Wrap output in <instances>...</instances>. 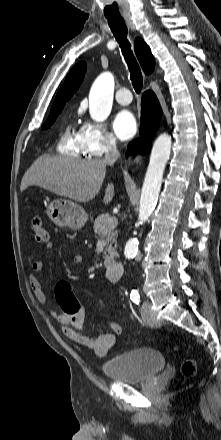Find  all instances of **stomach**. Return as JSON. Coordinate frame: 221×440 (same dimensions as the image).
Listing matches in <instances>:
<instances>
[{
	"label": "stomach",
	"mask_w": 221,
	"mask_h": 440,
	"mask_svg": "<svg viewBox=\"0 0 221 440\" xmlns=\"http://www.w3.org/2000/svg\"><path fill=\"white\" fill-rule=\"evenodd\" d=\"M47 215L59 227L81 229L88 215L79 204L67 199H55L47 207Z\"/></svg>",
	"instance_id": "obj_1"
}]
</instances>
